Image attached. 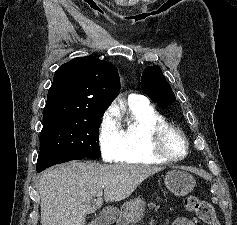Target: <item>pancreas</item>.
Instances as JSON below:
<instances>
[{"label": "pancreas", "mask_w": 237, "mask_h": 225, "mask_svg": "<svg viewBox=\"0 0 237 225\" xmlns=\"http://www.w3.org/2000/svg\"><path fill=\"white\" fill-rule=\"evenodd\" d=\"M148 207H150V208H153V207L158 208V206H156L154 203H151V206L148 205Z\"/></svg>", "instance_id": "obj_1"}]
</instances>
